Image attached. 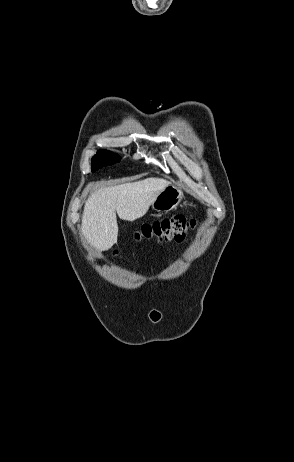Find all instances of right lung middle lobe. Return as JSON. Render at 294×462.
Wrapping results in <instances>:
<instances>
[{
    "mask_svg": "<svg viewBox=\"0 0 294 462\" xmlns=\"http://www.w3.org/2000/svg\"><path fill=\"white\" fill-rule=\"evenodd\" d=\"M97 156L108 158L113 162H116V161L120 160V157L118 155H115V154H113V153H111L109 151H105V150H99L97 152Z\"/></svg>",
    "mask_w": 294,
    "mask_h": 462,
    "instance_id": "dd1d6c3e",
    "label": "right lung middle lobe"
}]
</instances>
